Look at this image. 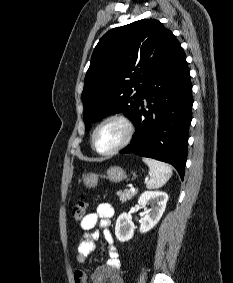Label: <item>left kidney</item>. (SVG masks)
<instances>
[{
    "instance_id": "obj_1",
    "label": "left kidney",
    "mask_w": 233,
    "mask_h": 283,
    "mask_svg": "<svg viewBox=\"0 0 233 283\" xmlns=\"http://www.w3.org/2000/svg\"><path fill=\"white\" fill-rule=\"evenodd\" d=\"M168 201V195L165 192L159 191H146L139 200L138 205L145 209V216L140 223V232L145 233L151 230L161 219ZM152 203V208L147 210L146 206ZM134 223L132 217L127 214H121L115 226V235L120 242L130 240L134 235Z\"/></svg>"
}]
</instances>
